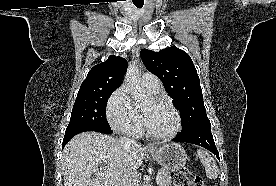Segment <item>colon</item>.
<instances>
[{"label": "colon", "mask_w": 276, "mask_h": 186, "mask_svg": "<svg viewBox=\"0 0 276 186\" xmlns=\"http://www.w3.org/2000/svg\"><path fill=\"white\" fill-rule=\"evenodd\" d=\"M174 186H204V181L196 174L182 171L175 175Z\"/></svg>", "instance_id": "colon-1"}]
</instances>
